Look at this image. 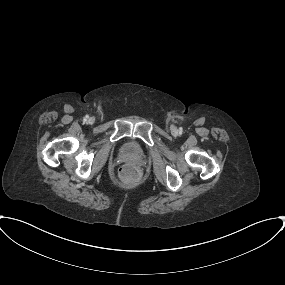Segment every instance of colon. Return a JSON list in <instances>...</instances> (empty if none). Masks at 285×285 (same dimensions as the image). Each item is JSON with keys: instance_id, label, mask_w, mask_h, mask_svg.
I'll list each match as a JSON object with an SVG mask.
<instances>
[{"instance_id": "5ec220e1", "label": "colon", "mask_w": 285, "mask_h": 285, "mask_svg": "<svg viewBox=\"0 0 285 285\" xmlns=\"http://www.w3.org/2000/svg\"><path fill=\"white\" fill-rule=\"evenodd\" d=\"M137 166L133 163L125 164L120 170V176L123 178L133 177L137 174Z\"/></svg>"}]
</instances>
